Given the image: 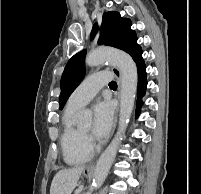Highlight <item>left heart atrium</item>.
<instances>
[{
  "mask_svg": "<svg viewBox=\"0 0 201 194\" xmlns=\"http://www.w3.org/2000/svg\"><path fill=\"white\" fill-rule=\"evenodd\" d=\"M114 110L109 101H99L94 106L93 135L103 138L108 135L113 124Z\"/></svg>",
  "mask_w": 201,
  "mask_h": 194,
  "instance_id": "obj_1",
  "label": "left heart atrium"
}]
</instances>
